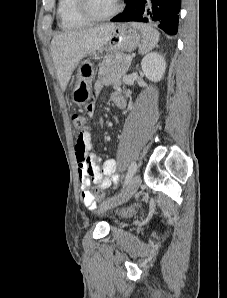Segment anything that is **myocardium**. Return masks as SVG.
<instances>
[{
  "label": "myocardium",
  "instance_id": "1",
  "mask_svg": "<svg viewBox=\"0 0 227 298\" xmlns=\"http://www.w3.org/2000/svg\"><path fill=\"white\" fill-rule=\"evenodd\" d=\"M78 11L82 17L87 19L89 22H104L115 17L122 9L121 0H117L115 8L108 14L103 16L95 15L89 6V0H77Z\"/></svg>",
  "mask_w": 227,
  "mask_h": 298
}]
</instances>
